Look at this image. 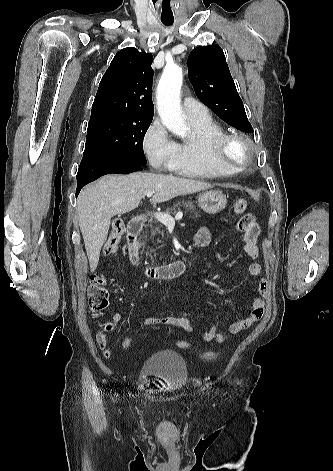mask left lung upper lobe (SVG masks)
<instances>
[{
  "label": "left lung upper lobe",
  "instance_id": "left-lung-upper-lobe-1",
  "mask_svg": "<svg viewBox=\"0 0 333 471\" xmlns=\"http://www.w3.org/2000/svg\"><path fill=\"white\" fill-rule=\"evenodd\" d=\"M188 74L202 103L229 125L253 132L220 46L193 49L188 58Z\"/></svg>",
  "mask_w": 333,
  "mask_h": 471
}]
</instances>
